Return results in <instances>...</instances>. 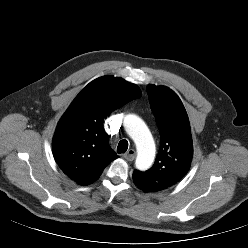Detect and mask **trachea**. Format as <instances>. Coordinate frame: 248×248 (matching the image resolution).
Masks as SVG:
<instances>
[{
    "label": "trachea",
    "instance_id": "3493384b",
    "mask_svg": "<svg viewBox=\"0 0 248 248\" xmlns=\"http://www.w3.org/2000/svg\"><path fill=\"white\" fill-rule=\"evenodd\" d=\"M128 149V141L123 139L119 142L118 147H117V152L119 154L125 153Z\"/></svg>",
    "mask_w": 248,
    "mask_h": 248
}]
</instances>
